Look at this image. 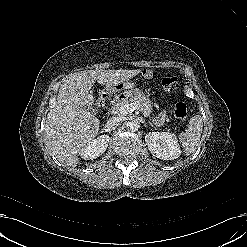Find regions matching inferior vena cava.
<instances>
[{"instance_id": "602c4592", "label": "inferior vena cava", "mask_w": 247, "mask_h": 247, "mask_svg": "<svg viewBox=\"0 0 247 247\" xmlns=\"http://www.w3.org/2000/svg\"><path fill=\"white\" fill-rule=\"evenodd\" d=\"M121 124V120L118 117L109 118L105 125L106 131H111L116 129Z\"/></svg>"}]
</instances>
